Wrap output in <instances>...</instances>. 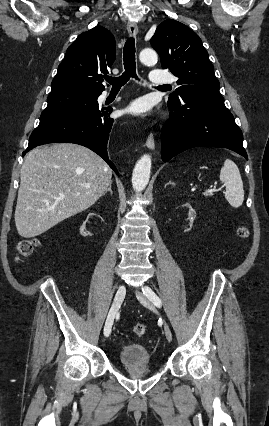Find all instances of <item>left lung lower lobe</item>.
I'll return each instance as SVG.
<instances>
[{
    "label": "left lung lower lobe",
    "instance_id": "left-lung-lower-lobe-1",
    "mask_svg": "<svg viewBox=\"0 0 269 426\" xmlns=\"http://www.w3.org/2000/svg\"><path fill=\"white\" fill-rule=\"evenodd\" d=\"M169 120L163 126L161 155L164 162L189 148L198 146L228 148L246 159L243 136L225 107L219 89L188 93L168 102Z\"/></svg>",
    "mask_w": 269,
    "mask_h": 426
}]
</instances>
